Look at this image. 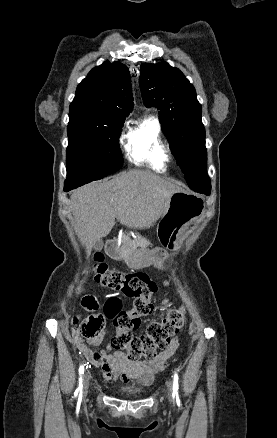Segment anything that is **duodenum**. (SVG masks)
I'll return each mask as SVG.
<instances>
[{"label": "duodenum", "instance_id": "410a0bca", "mask_svg": "<svg viewBox=\"0 0 277 438\" xmlns=\"http://www.w3.org/2000/svg\"><path fill=\"white\" fill-rule=\"evenodd\" d=\"M105 249H106V252L110 256H113V257H121L122 256V247L114 239H110L106 242Z\"/></svg>", "mask_w": 277, "mask_h": 438}]
</instances>
